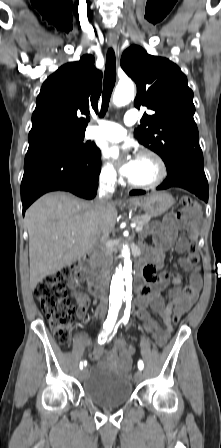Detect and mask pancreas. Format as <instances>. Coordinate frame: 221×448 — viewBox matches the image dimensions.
<instances>
[{
  "label": "pancreas",
  "mask_w": 221,
  "mask_h": 448,
  "mask_svg": "<svg viewBox=\"0 0 221 448\" xmlns=\"http://www.w3.org/2000/svg\"><path fill=\"white\" fill-rule=\"evenodd\" d=\"M150 219V215L135 216L132 218V222L141 227H145L149 223Z\"/></svg>",
  "instance_id": "obj_1"
}]
</instances>
